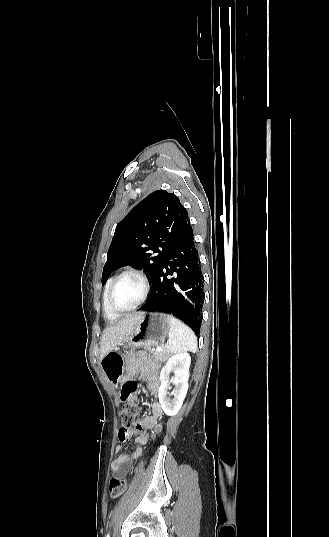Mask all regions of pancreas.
<instances>
[{
	"mask_svg": "<svg viewBox=\"0 0 329 537\" xmlns=\"http://www.w3.org/2000/svg\"><path fill=\"white\" fill-rule=\"evenodd\" d=\"M147 350L151 353L153 359L160 363L165 362L169 357V354L165 349H162L161 351H155L154 349L147 348Z\"/></svg>",
	"mask_w": 329,
	"mask_h": 537,
	"instance_id": "pancreas-1",
	"label": "pancreas"
}]
</instances>
